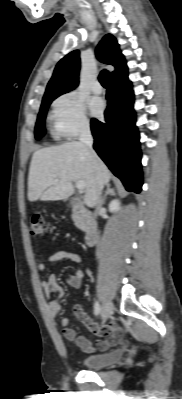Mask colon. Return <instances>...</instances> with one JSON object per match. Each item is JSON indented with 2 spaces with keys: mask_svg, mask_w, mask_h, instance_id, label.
Wrapping results in <instances>:
<instances>
[{
  "mask_svg": "<svg viewBox=\"0 0 182 399\" xmlns=\"http://www.w3.org/2000/svg\"><path fill=\"white\" fill-rule=\"evenodd\" d=\"M46 232V223L41 214L35 213L31 218L30 233L33 236H42Z\"/></svg>",
  "mask_w": 182,
  "mask_h": 399,
  "instance_id": "obj_1",
  "label": "colon"
}]
</instances>
